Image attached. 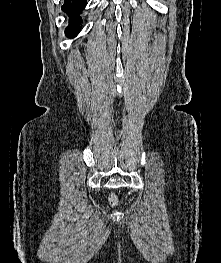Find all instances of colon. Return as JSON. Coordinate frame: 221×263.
Here are the masks:
<instances>
[{
  "label": "colon",
  "instance_id": "1",
  "mask_svg": "<svg viewBox=\"0 0 221 263\" xmlns=\"http://www.w3.org/2000/svg\"><path fill=\"white\" fill-rule=\"evenodd\" d=\"M110 202H111V204H116L117 198H116V196L114 194L110 195Z\"/></svg>",
  "mask_w": 221,
  "mask_h": 263
}]
</instances>
